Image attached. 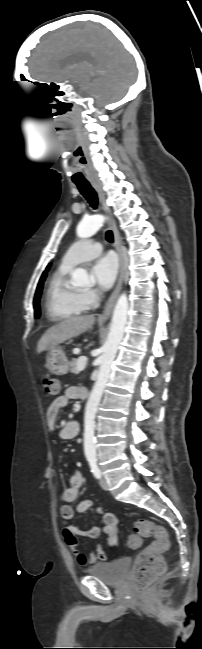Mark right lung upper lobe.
Listing matches in <instances>:
<instances>
[{"instance_id": "1", "label": "right lung upper lobe", "mask_w": 202, "mask_h": 649, "mask_svg": "<svg viewBox=\"0 0 202 649\" xmlns=\"http://www.w3.org/2000/svg\"><path fill=\"white\" fill-rule=\"evenodd\" d=\"M48 267H49V266H48ZM48 267H47V270H48ZM47 270H46V271H47ZM46 271H44L43 274H44Z\"/></svg>"}]
</instances>
